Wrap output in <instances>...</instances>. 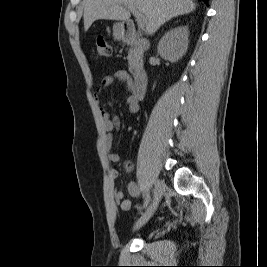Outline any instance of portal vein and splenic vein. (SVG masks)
I'll use <instances>...</instances> for the list:
<instances>
[{"label": "portal vein and splenic vein", "mask_w": 267, "mask_h": 267, "mask_svg": "<svg viewBox=\"0 0 267 267\" xmlns=\"http://www.w3.org/2000/svg\"><path fill=\"white\" fill-rule=\"evenodd\" d=\"M130 12L134 15V17L136 18L137 24L139 26V28L143 29L146 23V18L145 16L140 13V11H138V9L134 8V7H127Z\"/></svg>", "instance_id": "obj_1"}]
</instances>
